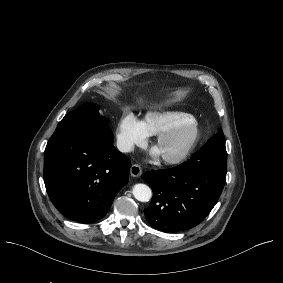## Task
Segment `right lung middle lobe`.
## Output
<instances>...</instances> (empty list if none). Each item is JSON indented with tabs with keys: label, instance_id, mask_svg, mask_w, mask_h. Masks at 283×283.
Segmentation results:
<instances>
[{
	"label": "right lung middle lobe",
	"instance_id": "obj_1",
	"mask_svg": "<svg viewBox=\"0 0 283 283\" xmlns=\"http://www.w3.org/2000/svg\"><path fill=\"white\" fill-rule=\"evenodd\" d=\"M99 106L95 103H86L68 113L59 122L57 128L77 127L103 132L110 130L108 121L99 115Z\"/></svg>",
	"mask_w": 283,
	"mask_h": 283
}]
</instances>
